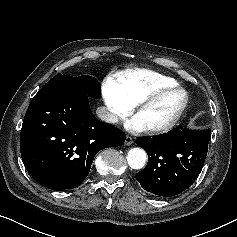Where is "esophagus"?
Segmentation results:
<instances>
[{
	"mask_svg": "<svg viewBox=\"0 0 237 237\" xmlns=\"http://www.w3.org/2000/svg\"><path fill=\"white\" fill-rule=\"evenodd\" d=\"M133 143V138L131 136H126L125 145L130 146Z\"/></svg>",
	"mask_w": 237,
	"mask_h": 237,
	"instance_id": "1",
	"label": "esophagus"
}]
</instances>
